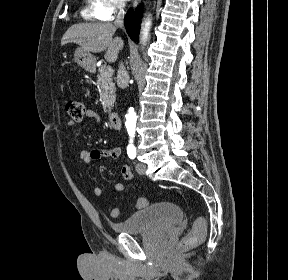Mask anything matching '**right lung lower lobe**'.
<instances>
[{
    "mask_svg": "<svg viewBox=\"0 0 288 280\" xmlns=\"http://www.w3.org/2000/svg\"><path fill=\"white\" fill-rule=\"evenodd\" d=\"M140 19L141 11L139 9H136L135 12L133 11V9H129L124 19L127 33L134 41H138Z\"/></svg>",
    "mask_w": 288,
    "mask_h": 280,
    "instance_id": "1",
    "label": "right lung lower lobe"
}]
</instances>
